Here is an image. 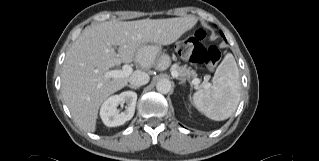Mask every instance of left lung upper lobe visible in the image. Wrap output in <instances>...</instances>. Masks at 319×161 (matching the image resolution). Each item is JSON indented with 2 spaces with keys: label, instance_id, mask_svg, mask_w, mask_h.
<instances>
[{
  "label": "left lung upper lobe",
  "instance_id": "5c2ea615",
  "mask_svg": "<svg viewBox=\"0 0 319 161\" xmlns=\"http://www.w3.org/2000/svg\"><path fill=\"white\" fill-rule=\"evenodd\" d=\"M221 35L224 37L223 33L221 32Z\"/></svg>",
  "mask_w": 319,
  "mask_h": 161
}]
</instances>
